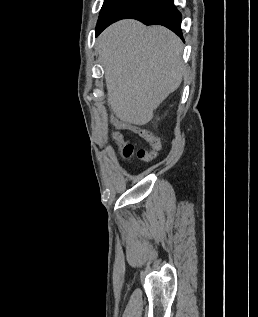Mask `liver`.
<instances>
[{"instance_id": "liver-1", "label": "liver", "mask_w": 258, "mask_h": 317, "mask_svg": "<svg viewBox=\"0 0 258 317\" xmlns=\"http://www.w3.org/2000/svg\"><path fill=\"white\" fill-rule=\"evenodd\" d=\"M108 100L122 124H146L182 82V40L165 26L125 18L98 36Z\"/></svg>"}]
</instances>
